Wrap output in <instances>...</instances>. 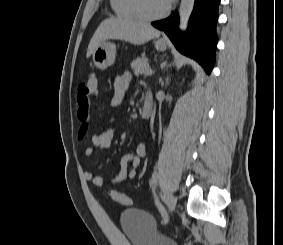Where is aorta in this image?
Wrapping results in <instances>:
<instances>
[{
  "label": "aorta",
  "mask_w": 283,
  "mask_h": 245,
  "mask_svg": "<svg viewBox=\"0 0 283 245\" xmlns=\"http://www.w3.org/2000/svg\"><path fill=\"white\" fill-rule=\"evenodd\" d=\"M195 0H181L179 7V16H180V29L185 30L188 25L189 17L192 13Z\"/></svg>",
  "instance_id": "obj_1"
}]
</instances>
